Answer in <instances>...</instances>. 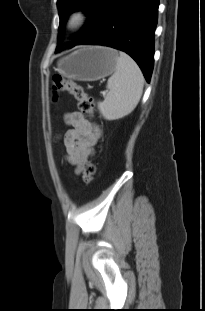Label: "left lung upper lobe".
<instances>
[{
  "label": "left lung upper lobe",
  "mask_w": 205,
  "mask_h": 311,
  "mask_svg": "<svg viewBox=\"0 0 205 311\" xmlns=\"http://www.w3.org/2000/svg\"><path fill=\"white\" fill-rule=\"evenodd\" d=\"M114 0H57L61 28L67 16L75 10H84L90 19L85 27L73 39L70 47L75 46L87 33L94 29L106 16Z\"/></svg>",
  "instance_id": "obj_1"
}]
</instances>
